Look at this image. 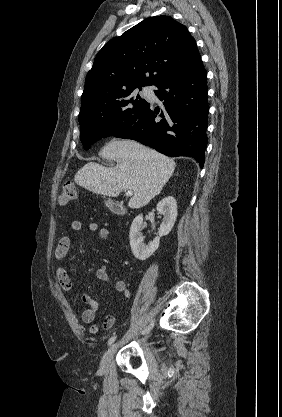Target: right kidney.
Segmentation results:
<instances>
[{
  "label": "right kidney",
  "instance_id": "ca27d5eb",
  "mask_svg": "<svg viewBox=\"0 0 282 417\" xmlns=\"http://www.w3.org/2000/svg\"><path fill=\"white\" fill-rule=\"evenodd\" d=\"M156 209L160 215H163V221L160 225L159 237H156L154 241H150L148 245H144V237L142 233H140L143 225L142 215L135 217L131 225L129 233L130 247L134 257L139 259V261H146V259H149V257L157 251L160 237L169 235L171 229H173L177 217L176 198H174V196H165V198H162V200L158 202Z\"/></svg>",
  "mask_w": 282,
  "mask_h": 417
}]
</instances>
